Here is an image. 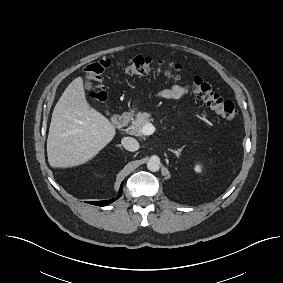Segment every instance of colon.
<instances>
[{
    "mask_svg": "<svg viewBox=\"0 0 283 283\" xmlns=\"http://www.w3.org/2000/svg\"><path fill=\"white\" fill-rule=\"evenodd\" d=\"M112 65L120 68L128 75L142 76L152 71H158L175 80H182L183 69L174 62L156 61L149 57L138 56L122 64L118 61L113 62L108 58H102L85 68V79L90 84L88 95L92 102L99 104L106 100L107 92L103 84L102 75ZM189 84L195 95L220 117L229 121L236 117L237 110L234 104L229 100L223 99L200 77H193L189 80Z\"/></svg>",
    "mask_w": 283,
    "mask_h": 283,
    "instance_id": "1",
    "label": "colon"
}]
</instances>
